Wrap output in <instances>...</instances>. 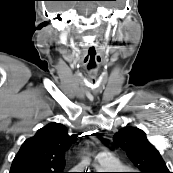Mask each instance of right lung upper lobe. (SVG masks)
Here are the masks:
<instances>
[{"mask_svg": "<svg viewBox=\"0 0 173 173\" xmlns=\"http://www.w3.org/2000/svg\"><path fill=\"white\" fill-rule=\"evenodd\" d=\"M78 135H68L67 128L51 123L27 139L15 156L10 173H64V155Z\"/></svg>", "mask_w": 173, "mask_h": 173, "instance_id": "obj_1", "label": "right lung upper lobe"}]
</instances>
